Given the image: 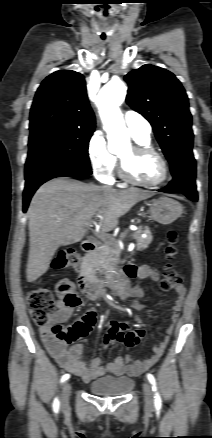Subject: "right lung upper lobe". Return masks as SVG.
Listing matches in <instances>:
<instances>
[{"label":"right lung upper lobe","mask_w":212,"mask_h":438,"mask_svg":"<svg viewBox=\"0 0 212 438\" xmlns=\"http://www.w3.org/2000/svg\"><path fill=\"white\" fill-rule=\"evenodd\" d=\"M44 127L94 130L95 116L82 74L60 70L41 83L31 107L29 128Z\"/></svg>","instance_id":"right-lung-upper-lobe-1"}]
</instances>
